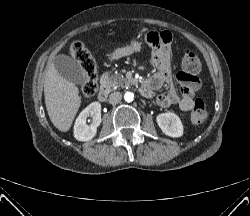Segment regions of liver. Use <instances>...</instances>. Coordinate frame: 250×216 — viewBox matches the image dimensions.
Returning <instances> with one entry per match:
<instances>
[{
  "label": "liver",
  "instance_id": "1",
  "mask_svg": "<svg viewBox=\"0 0 250 216\" xmlns=\"http://www.w3.org/2000/svg\"><path fill=\"white\" fill-rule=\"evenodd\" d=\"M44 95L51 122L58 130L68 131L81 104L78 87L51 65L44 81Z\"/></svg>",
  "mask_w": 250,
  "mask_h": 216
}]
</instances>
